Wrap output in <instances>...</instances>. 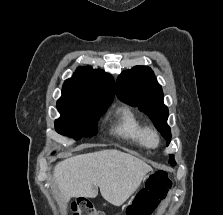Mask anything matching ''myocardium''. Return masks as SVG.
Masks as SVG:
<instances>
[{"label":"myocardium","mask_w":223,"mask_h":215,"mask_svg":"<svg viewBox=\"0 0 223 215\" xmlns=\"http://www.w3.org/2000/svg\"><path fill=\"white\" fill-rule=\"evenodd\" d=\"M144 143L148 148L158 147L160 143V136L154 128L146 129Z\"/></svg>","instance_id":"myocardium-1"}]
</instances>
